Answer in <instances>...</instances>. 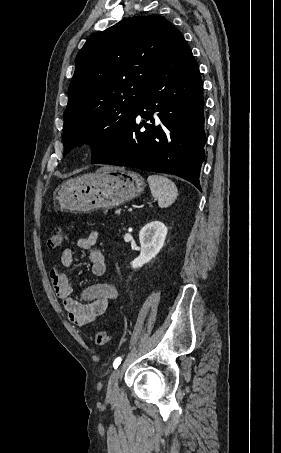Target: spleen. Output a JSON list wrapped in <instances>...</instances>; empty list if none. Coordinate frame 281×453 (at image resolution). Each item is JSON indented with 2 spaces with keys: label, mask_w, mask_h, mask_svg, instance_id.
<instances>
[{
  "label": "spleen",
  "mask_w": 281,
  "mask_h": 453,
  "mask_svg": "<svg viewBox=\"0 0 281 453\" xmlns=\"http://www.w3.org/2000/svg\"><path fill=\"white\" fill-rule=\"evenodd\" d=\"M152 196L158 200L160 208L170 206L177 198L178 190L176 184L166 178V176H159V174H151L147 178Z\"/></svg>",
  "instance_id": "3e777b00"
}]
</instances>
